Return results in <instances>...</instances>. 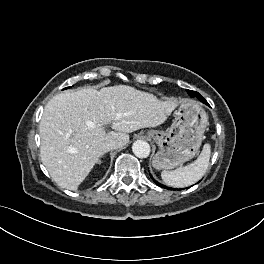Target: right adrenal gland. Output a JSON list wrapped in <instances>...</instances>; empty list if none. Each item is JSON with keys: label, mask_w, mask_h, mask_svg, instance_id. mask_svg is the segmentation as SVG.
Listing matches in <instances>:
<instances>
[{"label": "right adrenal gland", "mask_w": 264, "mask_h": 264, "mask_svg": "<svg viewBox=\"0 0 264 264\" xmlns=\"http://www.w3.org/2000/svg\"><path fill=\"white\" fill-rule=\"evenodd\" d=\"M98 164H101V160L98 161Z\"/></svg>", "instance_id": "1"}]
</instances>
